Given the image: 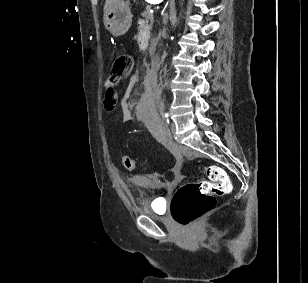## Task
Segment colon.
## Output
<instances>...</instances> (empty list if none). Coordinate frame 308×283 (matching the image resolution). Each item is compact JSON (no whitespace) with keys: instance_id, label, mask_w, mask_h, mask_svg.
I'll return each mask as SVG.
<instances>
[{"instance_id":"1","label":"colon","mask_w":308,"mask_h":283,"mask_svg":"<svg viewBox=\"0 0 308 283\" xmlns=\"http://www.w3.org/2000/svg\"><path fill=\"white\" fill-rule=\"evenodd\" d=\"M132 67L133 60L130 55H117L112 64L109 81L117 84L130 75ZM122 161L128 170H132L136 165L130 156H124ZM204 171L207 180L181 186L172 198V216L182 226H189L206 215L215 207L217 196L231 191V182L224 169L212 165Z\"/></svg>"}]
</instances>
